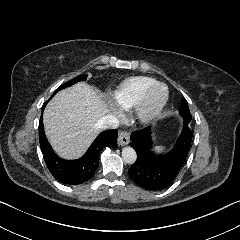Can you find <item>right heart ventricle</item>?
<instances>
[{"instance_id": "e07e8e85", "label": "right heart ventricle", "mask_w": 240, "mask_h": 240, "mask_svg": "<svg viewBox=\"0 0 240 240\" xmlns=\"http://www.w3.org/2000/svg\"><path fill=\"white\" fill-rule=\"evenodd\" d=\"M157 82L147 77H132L108 93L107 102L114 110H128L139 103L143 94Z\"/></svg>"}]
</instances>
